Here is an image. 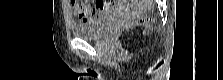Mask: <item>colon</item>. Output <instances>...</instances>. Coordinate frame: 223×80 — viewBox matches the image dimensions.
I'll list each match as a JSON object with an SVG mask.
<instances>
[{
    "mask_svg": "<svg viewBox=\"0 0 223 80\" xmlns=\"http://www.w3.org/2000/svg\"><path fill=\"white\" fill-rule=\"evenodd\" d=\"M72 1H75V2H78V3H84V2H79V1H76V0H72ZM152 19H151V17H144V18H141L140 19V23H142V24H147V23H149L150 21H151Z\"/></svg>",
    "mask_w": 223,
    "mask_h": 80,
    "instance_id": "colon-1",
    "label": "colon"
}]
</instances>
